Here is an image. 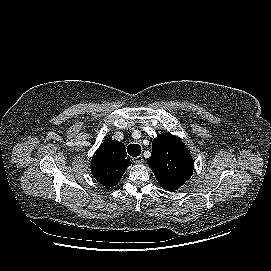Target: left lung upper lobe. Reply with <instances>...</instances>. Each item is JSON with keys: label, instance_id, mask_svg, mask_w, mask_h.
Listing matches in <instances>:
<instances>
[{"label": "left lung upper lobe", "instance_id": "5c2ea615", "mask_svg": "<svg viewBox=\"0 0 271 271\" xmlns=\"http://www.w3.org/2000/svg\"><path fill=\"white\" fill-rule=\"evenodd\" d=\"M160 186L177 190L192 175L194 163L184 143L177 136L163 133L152 142V154L147 159Z\"/></svg>", "mask_w": 271, "mask_h": 271}]
</instances>
